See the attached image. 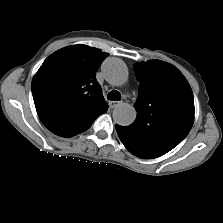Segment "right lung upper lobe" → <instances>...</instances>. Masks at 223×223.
<instances>
[{"mask_svg":"<svg viewBox=\"0 0 223 223\" xmlns=\"http://www.w3.org/2000/svg\"><path fill=\"white\" fill-rule=\"evenodd\" d=\"M108 56L97 48L74 45L50 55L32 80L38 116L51 132L72 137L87 130L108 106L95 72Z\"/></svg>","mask_w":223,"mask_h":223,"instance_id":"1","label":"right lung upper lobe"}]
</instances>
